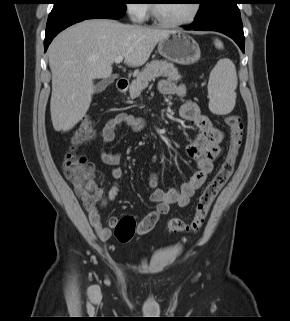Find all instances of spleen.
<instances>
[{"mask_svg":"<svg viewBox=\"0 0 290 321\" xmlns=\"http://www.w3.org/2000/svg\"><path fill=\"white\" fill-rule=\"evenodd\" d=\"M216 48L222 49L223 43L215 39ZM237 74L234 63L229 59H221L212 69L209 82V109L212 113L224 115L230 113L236 101Z\"/></svg>","mask_w":290,"mask_h":321,"instance_id":"1","label":"spleen"}]
</instances>
